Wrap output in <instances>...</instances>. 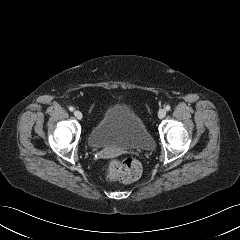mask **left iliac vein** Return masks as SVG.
I'll list each match as a JSON object with an SVG mask.
<instances>
[{
	"label": "left iliac vein",
	"instance_id": "4c4485c4",
	"mask_svg": "<svg viewBox=\"0 0 240 240\" xmlns=\"http://www.w3.org/2000/svg\"><path fill=\"white\" fill-rule=\"evenodd\" d=\"M165 115H166V111L164 109H160L158 112V117L162 119L165 117Z\"/></svg>",
	"mask_w": 240,
	"mask_h": 240
}]
</instances>
